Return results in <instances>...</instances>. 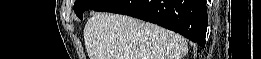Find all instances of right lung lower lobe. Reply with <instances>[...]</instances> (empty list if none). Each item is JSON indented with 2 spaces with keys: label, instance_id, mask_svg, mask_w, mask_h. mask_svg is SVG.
Listing matches in <instances>:
<instances>
[{
  "label": "right lung lower lobe",
  "instance_id": "1",
  "mask_svg": "<svg viewBox=\"0 0 261 59\" xmlns=\"http://www.w3.org/2000/svg\"><path fill=\"white\" fill-rule=\"evenodd\" d=\"M94 10L149 21L205 46L206 0H107Z\"/></svg>",
  "mask_w": 261,
  "mask_h": 59
}]
</instances>
